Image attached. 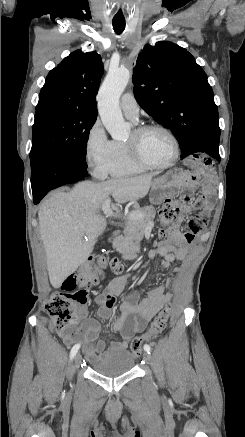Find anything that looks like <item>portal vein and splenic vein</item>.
I'll return each instance as SVG.
<instances>
[{"label": "portal vein and splenic vein", "instance_id": "obj_1", "mask_svg": "<svg viewBox=\"0 0 245 437\" xmlns=\"http://www.w3.org/2000/svg\"><path fill=\"white\" fill-rule=\"evenodd\" d=\"M110 198L106 199L103 204H102V210L104 212V214L106 215V217H112V216H120L118 214H114L110 208Z\"/></svg>", "mask_w": 245, "mask_h": 437}]
</instances>
